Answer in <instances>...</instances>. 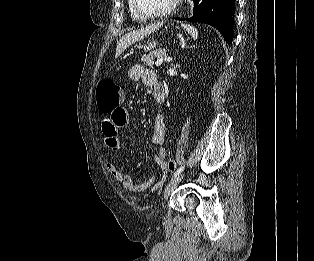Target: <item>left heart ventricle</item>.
Instances as JSON below:
<instances>
[{
    "mask_svg": "<svg viewBox=\"0 0 314 261\" xmlns=\"http://www.w3.org/2000/svg\"><path fill=\"white\" fill-rule=\"evenodd\" d=\"M172 0H139L141 8L147 12H159L169 7Z\"/></svg>",
    "mask_w": 314,
    "mask_h": 261,
    "instance_id": "left-heart-ventricle-1",
    "label": "left heart ventricle"
}]
</instances>
